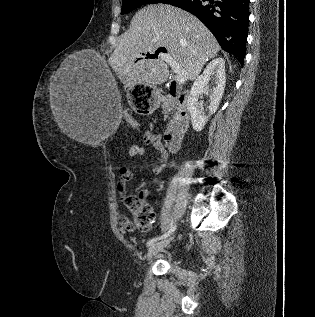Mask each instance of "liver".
Instances as JSON below:
<instances>
[{"instance_id":"1","label":"liver","mask_w":315,"mask_h":317,"mask_svg":"<svg viewBox=\"0 0 315 317\" xmlns=\"http://www.w3.org/2000/svg\"><path fill=\"white\" fill-rule=\"evenodd\" d=\"M165 47L157 59H145L147 53H154ZM220 47L213 34L190 13L171 5H149L138 11L130 27L124 33L109 58V65L125 87L135 84L154 86L164 83L169 69L164 56L172 57L187 73L186 79L194 80L208 59L216 56ZM142 58V59H140ZM66 60L60 70L69 67ZM51 93V109L60 130L69 138L82 142V121L70 105V99L62 102ZM117 92L108 96L118 104Z\"/></svg>"}]
</instances>
